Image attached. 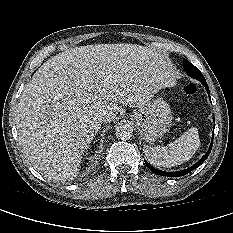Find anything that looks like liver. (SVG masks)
<instances>
[{"instance_id":"liver-1","label":"liver","mask_w":233,"mask_h":233,"mask_svg":"<svg viewBox=\"0 0 233 233\" xmlns=\"http://www.w3.org/2000/svg\"><path fill=\"white\" fill-rule=\"evenodd\" d=\"M171 70L151 48L95 44L71 48L47 60L33 75L17 110L19 142L32 167L49 180H72L100 125L119 105L144 107L172 84Z\"/></svg>"}]
</instances>
